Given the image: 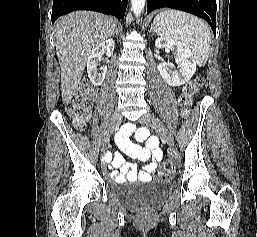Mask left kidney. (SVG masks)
<instances>
[{
    "instance_id": "left-kidney-1",
    "label": "left kidney",
    "mask_w": 257,
    "mask_h": 237,
    "mask_svg": "<svg viewBox=\"0 0 257 237\" xmlns=\"http://www.w3.org/2000/svg\"><path fill=\"white\" fill-rule=\"evenodd\" d=\"M155 46L158 49L171 51L178 64V69H175L170 62H163L158 65L159 73L166 83L177 87L191 79L196 72V63L191 50L184 43L173 39L157 38Z\"/></svg>"
}]
</instances>
